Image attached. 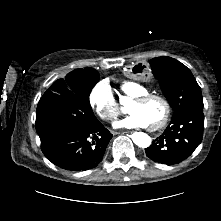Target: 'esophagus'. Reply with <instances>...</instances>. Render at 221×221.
<instances>
[{
    "label": "esophagus",
    "mask_w": 221,
    "mask_h": 221,
    "mask_svg": "<svg viewBox=\"0 0 221 221\" xmlns=\"http://www.w3.org/2000/svg\"><path fill=\"white\" fill-rule=\"evenodd\" d=\"M132 133V130H129V131H113V134L116 135V134H130Z\"/></svg>",
    "instance_id": "1"
}]
</instances>
